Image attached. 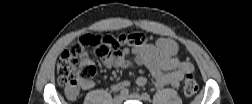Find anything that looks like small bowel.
<instances>
[{
  "label": "small bowel",
  "mask_w": 252,
  "mask_h": 104,
  "mask_svg": "<svg viewBox=\"0 0 252 104\" xmlns=\"http://www.w3.org/2000/svg\"><path fill=\"white\" fill-rule=\"evenodd\" d=\"M178 46L175 41L169 38H159L153 44H143L133 50L124 48L117 50L110 57L103 60V65L107 68L127 69L133 65L146 67L155 79L157 88L172 86L178 88L185 74L194 72V66L177 55ZM131 57L133 59L131 60ZM85 64L94 67L91 60L86 59ZM147 79L139 76L136 85L144 87ZM92 79L82 81L80 88L89 90L94 87ZM130 85L129 81H120L111 86L113 92L122 91Z\"/></svg>",
  "instance_id": "1"
}]
</instances>
